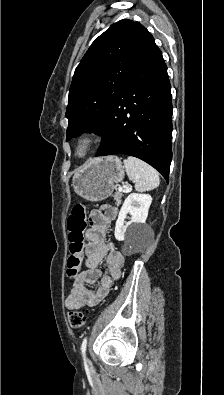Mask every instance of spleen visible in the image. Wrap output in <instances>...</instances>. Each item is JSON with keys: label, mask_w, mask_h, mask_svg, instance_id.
<instances>
[{"label": "spleen", "mask_w": 224, "mask_h": 395, "mask_svg": "<svg viewBox=\"0 0 224 395\" xmlns=\"http://www.w3.org/2000/svg\"><path fill=\"white\" fill-rule=\"evenodd\" d=\"M124 165L128 178L135 184L137 191H150L159 186L157 171L147 163L129 156L124 160Z\"/></svg>", "instance_id": "spleen-1"}]
</instances>
